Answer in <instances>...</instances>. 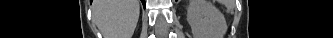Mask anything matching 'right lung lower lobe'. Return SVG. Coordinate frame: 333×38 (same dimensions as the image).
<instances>
[{
	"label": "right lung lower lobe",
	"mask_w": 333,
	"mask_h": 38,
	"mask_svg": "<svg viewBox=\"0 0 333 38\" xmlns=\"http://www.w3.org/2000/svg\"><path fill=\"white\" fill-rule=\"evenodd\" d=\"M92 1V0H91ZM142 1V3H143V5H145V1L144 0H141Z\"/></svg>",
	"instance_id": "98d812e1"
}]
</instances>
